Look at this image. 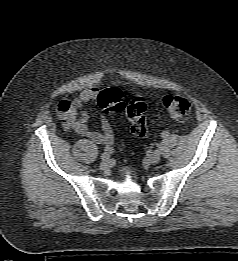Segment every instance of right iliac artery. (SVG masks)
I'll return each mask as SVG.
<instances>
[{
    "label": "right iliac artery",
    "instance_id": "right-iliac-artery-1",
    "mask_svg": "<svg viewBox=\"0 0 238 261\" xmlns=\"http://www.w3.org/2000/svg\"><path fill=\"white\" fill-rule=\"evenodd\" d=\"M104 151H105V153H107L109 155L114 152V149L112 147L107 146V147H105Z\"/></svg>",
    "mask_w": 238,
    "mask_h": 261
}]
</instances>
